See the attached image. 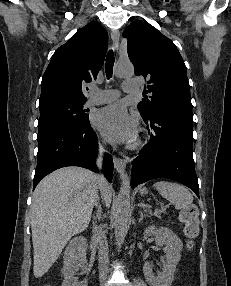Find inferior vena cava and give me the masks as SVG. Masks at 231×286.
<instances>
[{"label":"inferior vena cava","instance_id":"obj_1","mask_svg":"<svg viewBox=\"0 0 231 286\" xmlns=\"http://www.w3.org/2000/svg\"><path fill=\"white\" fill-rule=\"evenodd\" d=\"M104 149L102 146L99 147V153L97 158V164L101 167L102 164V156H103ZM97 182L99 187H101L104 183H106V179L103 175H96ZM98 196L95 206L98 205ZM94 239L98 243V261H99V277L100 282L103 283L106 280L107 272H108V243L106 240L105 233L102 229V226L94 225Z\"/></svg>","mask_w":231,"mask_h":286}]
</instances>
